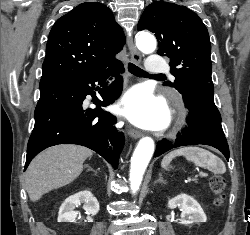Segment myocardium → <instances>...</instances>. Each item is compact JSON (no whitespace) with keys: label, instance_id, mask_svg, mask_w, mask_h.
Returning <instances> with one entry per match:
<instances>
[{"label":"myocardium","instance_id":"obj_1","mask_svg":"<svg viewBox=\"0 0 250 235\" xmlns=\"http://www.w3.org/2000/svg\"><path fill=\"white\" fill-rule=\"evenodd\" d=\"M170 119V118H169ZM181 122H182V118L181 117H178L177 118V124L179 125V124H181Z\"/></svg>","mask_w":250,"mask_h":235}]
</instances>
